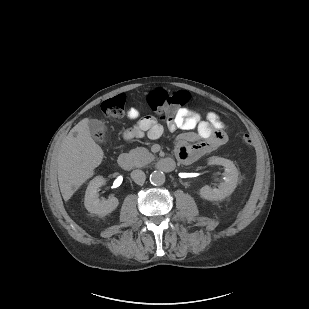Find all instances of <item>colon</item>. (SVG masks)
Masks as SVG:
<instances>
[{"mask_svg":"<svg viewBox=\"0 0 309 309\" xmlns=\"http://www.w3.org/2000/svg\"><path fill=\"white\" fill-rule=\"evenodd\" d=\"M190 100L188 92L180 90L169 93L164 89H156L148 95V102L153 111L160 114L161 119H168L175 111L186 105ZM125 97L118 95L104 101L101 105L103 113L113 119L122 118L124 115ZM102 137V134L100 135ZM243 143L252 145V138L249 134L242 136Z\"/></svg>","mask_w":309,"mask_h":309,"instance_id":"1","label":"colon"}]
</instances>
